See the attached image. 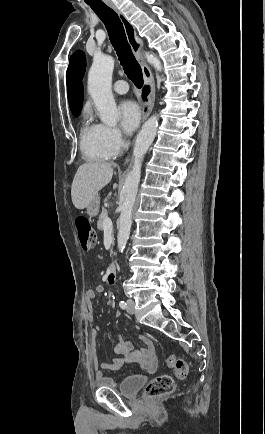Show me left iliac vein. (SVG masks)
Listing matches in <instances>:
<instances>
[{
	"mask_svg": "<svg viewBox=\"0 0 265 434\" xmlns=\"http://www.w3.org/2000/svg\"><path fill=\"white\" fill-rule=\"evenodd\" d=\"M127 304V312L133 314L135 312V302L132 299H129Z\"/></svg>",
	"mask_w": 265,
	"mask_h": 434,
	"instance_id": "4c4485c4",
	"label": "left iliac vein"
}]
</instances>
